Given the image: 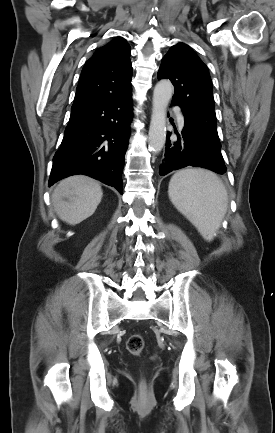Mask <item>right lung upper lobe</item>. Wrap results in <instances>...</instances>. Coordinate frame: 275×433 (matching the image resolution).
I'll list each match as a JSON object with an SVG mask.
<instances>
[{
    "mask_svg": "<svg viewBox=\"0 0 275 433\" xmlns=\"http://www.w3.org/2000/svg\"><path fill=\"white\" fill-rule=\"evenodd\" d=\"M130 50V45L117 37L95 52L81 72L72 110L131 93Z\"/></svg>",
    "mask_w": 275,
    "mask_h": 433,
    "instance_id": "1",
    "label": "right lung upper lobe"
}]
</instances>
